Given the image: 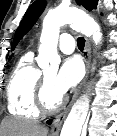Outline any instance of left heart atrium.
Listing matches in <instances>:
<instances>
[{
  "label": "left heart atrium",
  "instance_id": "obj_1",
  "mask_svg": "<svg viewBox=\"0 0 117 136\" xmlns=\"http://www.w3.org/2000/svg\"><path fill=\"white\" fill-rule=\"evenodd\" d=\"M83 76V67L77 58H67L61 64L54 80V89L63 96L75 87Z\"/></svg>",
  "mask_w": 117,
  "mask_h": 136
}]
</instances>
